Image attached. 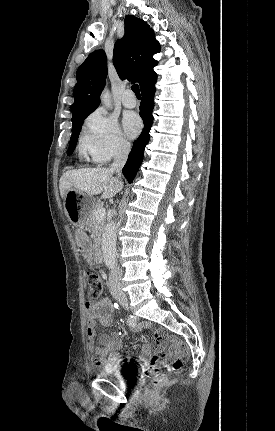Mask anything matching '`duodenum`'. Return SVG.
<instances>
[{
	"label": "duodenum",
	"instance_id": "obj_1",
	"mask_svg": "<svg viewBox=\"0 0 275 431\" xmlns=\"http://www.w3.org/2000/svg\"><path fill=\"white\" fill-rule=\"evenodd\" d=\"M93 255L96 263L101 264L103 262L104 256L100 243L94 245Z\"/></svg>",
	"mask_w": 275,
	"mask_h": 431
}]
</instances>
